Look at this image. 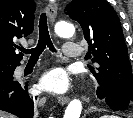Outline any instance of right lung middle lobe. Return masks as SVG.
I'll return each instance as SVG.
<instances>
[{
    "label": "right lung middle lobe",
    "instance_id": "dd1d6c3e",
    "mask_svg": "<svg viewBox=\"0 0 133 118\" xmlns=\"http://www.w3.org/2000/svg\"><path fill=\"white\" fill-rule=\"evenodd\" d=\"M14 70L15 66H9V65L0 66V82L12 81Z\"/></svg>",
    "mask_w": 133,
    "mask_h": 118
}]
</instances>
